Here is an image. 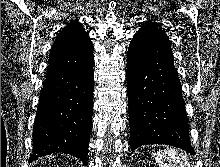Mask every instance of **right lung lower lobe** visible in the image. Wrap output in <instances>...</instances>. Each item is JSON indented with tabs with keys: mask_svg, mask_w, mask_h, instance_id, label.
<instances>
[{
	"mask_svg": "<svg viewBox=\"0 0 220 167\" xmlns=\"http://www.w3.org/2000/svg\"><path fill=\"white\" fill-rule=\"evenodd\" d=\"M93 88V62L79 70L47 76L39 97L29 162L60 152L87 165Z\"/></svg>",
	"mask_w": 220,
	"mask_h": 167,
	"instance_id": "1",
	"label": "right lung lower lobe"
}]
</instances>
